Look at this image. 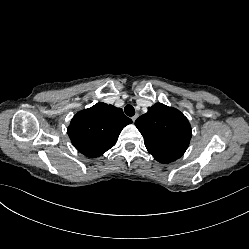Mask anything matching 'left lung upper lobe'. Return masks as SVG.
I'll use <instances>...</instances> for the list:
<instances>
[{"label": "left lung upper lobe", "instance_id": "1", "mask_svg": "<svg viewBox=\"0 0 249 249\" xmlns=\"http://www.w3.org/2000/svg\"><path fill=\"white\" fill-rule=\"evenodd\" d=\"M135 125L144 137L148 152L161 163L180 158L189 146L192 130L177 109L157 103L140 116Z\"/></svg>", "mask_w": 249, "mask_h": 249}]
</instances>
